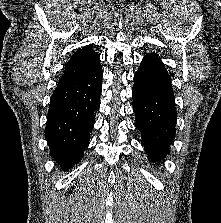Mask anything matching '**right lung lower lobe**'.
Instances as JSON below:
<instances>
[{"label": "right lung lower lobe", "mask_w": 221, "mask_h": 223, "mask_svg": "<svg viewBox=\"0 0 221 223\" xmlns=\"http://www.w3.org/2000/svg\"><path fill=\"white\" fill-rule=\"evenodd\" d=\"M103 71L98 65L87 75L58 86L50 101L45 137L50 155L68 169L83 157L100 107Z\"/></svg>", "instance_id": "98d812e1"}]
</instances>
